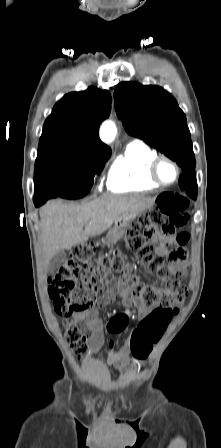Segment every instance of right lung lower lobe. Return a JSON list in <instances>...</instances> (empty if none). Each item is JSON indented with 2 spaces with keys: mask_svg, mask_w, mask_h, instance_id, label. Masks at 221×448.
Wrapping results in <instances>:
<instances>
[{
  "mask_svg": "<svg viewBox=\"0 0 221 448\" xmlns=\"http://www.w3.org/2000/svg\"><path fill=\"white\" fill-rule=\"evenodd\" d=\"M52 197L49 196H40V195H34V204L36 207L41 206L42 204H44L48 199H50Z\"/></svg>",
  "mask_w": 221,
  "mask_h": 448,
  "instance_id": "1",
  "label": "right lung lower lobe"
}]
</instances>
